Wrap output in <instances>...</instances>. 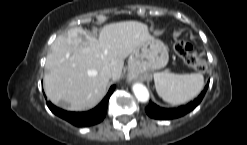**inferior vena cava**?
<instances>
[{"label":"inferior vena cava","mask_w":247,"mask_h":145,"mask_svg":"<svg viewBox=\"0 0 247 145\" xmlns=\"http://www.w3.org/2000/svg\"><path fill=\"white\" fill-rule=\"evenodd\" d=\"M101 74H102L104 77L108 78V79H110L111 76H112L111 71H110V69H109L108 67L103 68L102 71H101Z\"/></svg>","instance_id":"1"}]
</instances>
